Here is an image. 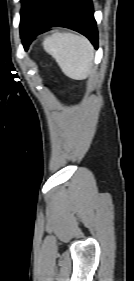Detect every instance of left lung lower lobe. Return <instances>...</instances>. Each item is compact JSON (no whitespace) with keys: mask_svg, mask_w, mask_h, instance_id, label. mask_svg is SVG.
Wrapping results in <instances>:
<instances>
[{"mask_svg":"<svg viewBox=\"0 0 134 281\" xmlns=\"http://www.w3.org/2000/svg\"><path fill=\"white\" fill-rule=\"evenodd\" d=\"M53 26L75 30L85 35L96 49L98 47L91 0H41L21 31L25 50L36 35Z\"/></svg>","mask_w":134,"mask_h":281,"instance_id":"0a47b994","label":"left lung lower lobe"}]
</instances>
